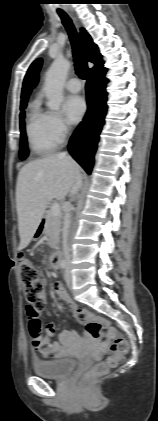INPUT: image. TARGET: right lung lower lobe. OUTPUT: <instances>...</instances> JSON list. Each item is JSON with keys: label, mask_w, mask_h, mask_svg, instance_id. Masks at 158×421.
<instances>
[{"label": "right lung lower lobe", "mask_w": 158, "mask_h": 421, "mask_svg": "<svg viewBox=\"0 0 158 421\" xmlns=\"http://www.w3.org/2000/svg\"><path fill=\"white\" fill-rule=\"evenodd\" d=\"M106 71L103 65L90 71L86 83L88 110L68 145L70 154L88 174L91 173L93 167L94 154L107 111Z\"/></svg>", "instance_id": "1"}]
</instances>
